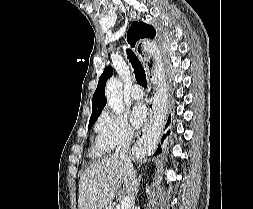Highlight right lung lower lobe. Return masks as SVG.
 Wrapping results in <instances>:
<instances>
[{"label":"right lung lower lobe","mask_w":253,"mask_h":209,"mask_svg":"<svg viewBox=\"0 0 253 209\" xmlns=\"http://www.w3.org/2000/svg\"><path fill=\"white\" fill-rule=\"evenodd\" d=\"M169 123H170V117H169V119H168V122H167L166 127L169 125ZM165 136H167V134L163 136L162 141H163V139H164ZM161 151H162V149H161V146L159 145L158 148H157V150H156V153H155V154H158V153H160Z\"/></svg>","instance_id":"right-lung-lower-lobe-1"}]
</instances>
